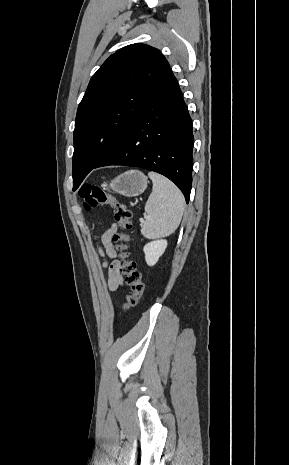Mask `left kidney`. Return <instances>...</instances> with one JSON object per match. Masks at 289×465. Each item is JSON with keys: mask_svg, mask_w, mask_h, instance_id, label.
Wrapping results in <instances>:
<instances>
[{"mask_svg": "<svg viewBox=\"0 0 289 465\" xmlns=\"http://www.w3.org/2000/svg\"><path fill=\"white\" fill-rule=\"evenodd\" d=\"M166 247L167 240H155L147 243L143 248L146 263L149 266H154L164 253Z\"/></svg>", "mask_w": 289, "mask_h": 465, "instance_id": "5707ae66", "label": "left kidney"}]
</instances>
